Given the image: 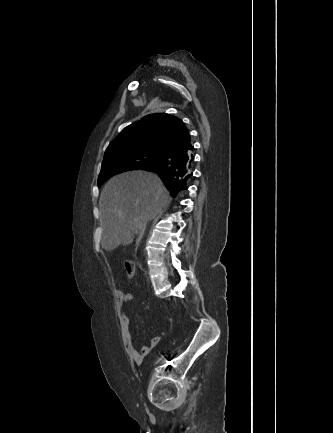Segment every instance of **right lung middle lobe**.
<instances>
[{
	"mask_svg": "<svg viewBox=\"0 0 333 433\" xmlns=\"http://www.w3.org/2000/svg\"><path fill=\"white\" fill-rule=\"evenodd\" d=\"M167 155L156 148H126L104 156L101 172L98 178V187L107 179L126 170L149 167L159 163Z\"/></svg>",
	"mask_w": 333,
	"mask_h": 433,
	"instance_id": "obj_1",
	"label": "right lung middle lobe"
}]
</instances>
